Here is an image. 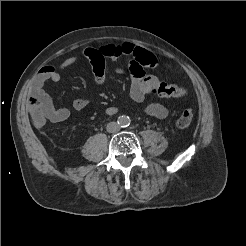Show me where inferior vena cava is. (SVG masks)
Here are the masks:
<instances>
[{
  "mask_svg": "<svg viewBox=\"0 0 246 246\" xmlns=\"http://www.w3.org/2000/svg\"><path fill=\"white\" fill-rule=\"evenodd\" d=\"M106 129L109 133H115V132H118L120 130V126L116 122H110L107 124Z\"/></svg>",
  "mask_w": 246,
  "mask_h": 246,
  "instance_id": "602c4592",
  "label": "inferior vena cava"
}]
</instances>
